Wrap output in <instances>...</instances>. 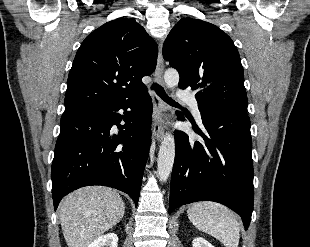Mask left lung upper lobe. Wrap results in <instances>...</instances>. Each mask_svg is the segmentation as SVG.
<instances>
[{
    "mask_svg": "<svg viewBox=\"0 0 310 247\" xmlns=\"http://www.w3.org/2000/svg\"><path fill=\"white\" fill-rule=\"evenodd\" d=\"M163 57L179 72L181 89L197 90L200 111L225 110L247 115L239 53L220 28L202 20L182 18L164 42Z\"/></svg>",
    "mask_w": 310,
    "mask_h": 247,
    "instance_id": "left-lung-upper-lobe-1",
    "label": "left lung upper lobe"
}]
</instances>
